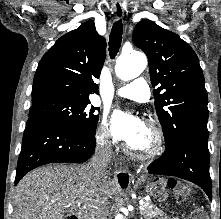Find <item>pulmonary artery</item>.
<instances>
[{"instance_id": "pulmonary-artery-1", "label": "pulmonary artery", "mask_w": 221, "mask_h": 219, "mask_svg": "<svg viewBox=\"0 0 221 219\" xmlns=\"http://www.w3.org/2000/svg\"><path fill=\"white\" fill-rule=\"evenodd\" d=\"M116 95L135 100L138 102H147L150 97V91L143 78H135L131 83L116 89Z\"/></svg>"}]
</instances>
